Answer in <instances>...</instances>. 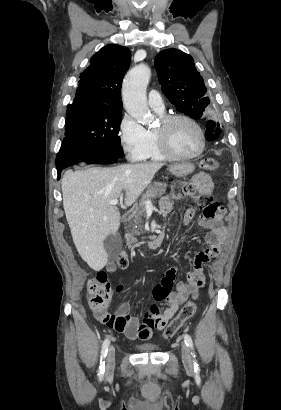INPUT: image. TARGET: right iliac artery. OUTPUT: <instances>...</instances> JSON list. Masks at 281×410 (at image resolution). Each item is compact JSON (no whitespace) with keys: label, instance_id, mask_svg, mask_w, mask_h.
<instances>
[{"label":"right iliac artery","instance_id":"82829eb1","mask_svg":"<svg viewBox=\"0 0 281 410\" xmlns=\"http://www.w3.org/2000/svg\"><path fill=\"white\" fill-rule=\"evenodd\" d=\"M109 344H110L109 339H106L102 345L100 366H99V372H98L100 380L103 378V374L105 371V361L104 360H105V357L107 356Z\"/></svg>","mask_w":281,"mask_h":410}]
</instances>
